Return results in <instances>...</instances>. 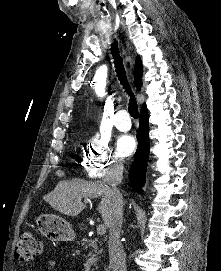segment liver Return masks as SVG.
<instances>
[{"label":"liver","instance_id":"obj_1","mask_svg":"<svg viewBox=\"0 0 221 271\" xmlns=\"http://www.w3.org/2000/svg\"><path fill=\"white\" fill-rule=\"evenodd\" d=\"M98 195H101V201L98 203L97 209L108 227L115 201L111 193H108L103 181H87V179L59 181L53 191L44 195V199L56 211L74 217V215H78L86 207L82 197H98Z\"/></svg>","mask_w":221,"mask_h":271}]
</instances>
